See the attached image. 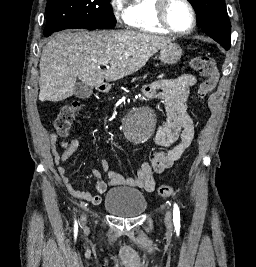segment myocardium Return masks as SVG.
I'll return each mask as SVG.
<instances>
[{
  "mask_svg": "<svg viewBox=\"0 0 256 267\" xmlns=\"http://www.w3.org/2000/svg\"><path fill=\"white\" fill-rule=\"evenodd\" d=\"M173 1V0H159L158 4V11L156 14V19L158 25L163 28L164 30L168 31L170 34L180 36V37H185L190 34H192L196 28L197 25V18H196V13L192 5L187 1V0H176L181 3H183L190 11L191 17H192V25L191 28L188 31L185 32H179L175 30L169 23L168 18H167V8L168 4Z\"/></svg>",
  "mask_w": 256,
  "mask_h": 267,
  "instance_id": "myocardium-1",
  "label": "myocardium"
}]
</instances>
